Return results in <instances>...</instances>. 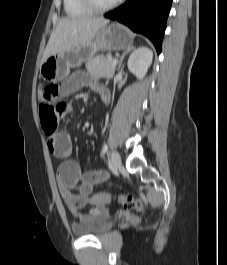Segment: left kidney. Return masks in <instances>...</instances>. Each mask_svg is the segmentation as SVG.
<instances>
[{
    "label": "left kidney",
    "instance_id": "1",
    "mask_svg": "<svg viewBox=\"0 0 227 265\" xmlns=\"http://www.w3.org/2000/svg\"><path fill=\"white\" fill-rule=\"evenodd\" d=\"M152 59V51L148 47H140L129 56L128 69L137 79H143L152 63Z\"/></svg>",
    "mask_w": 227,
    "mask_h": 265
}]
</instances>
